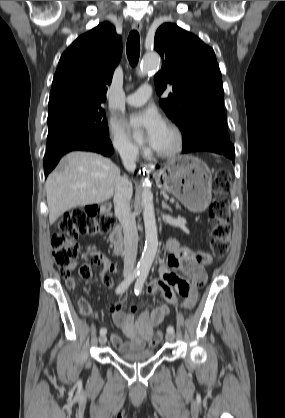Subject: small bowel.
<instances>
[{"instance_id": "small-bowel-1", "label": "small bowel", "mask_w": 285, "mask_h": 418, "mask_svg": "<svg viewBox=\"0 0 285 418\" xmlns=\"http://www.w3.org/2000/svg\"><path fill=\"white\" fill-rule=\"evenodd\" d=\"M166 247L170 252L169 256L160 262L158 276L154 278L148 285L147 293L153 299L165 298L169 304L177 306V296L183 297V302L188 304L195 301L197 293L207 281V274L202 264V256L204 253L194 252L188 248L180 247L174 239L166 242ZM104 267L96 273V277L105 284H114L112 280L105 278L107 272L112 275L118 274L117 266L109 261L108 258L103 259ZM181 262L187 265L181 272ZM210 262V259H207ZM66 286L69 289L75 287V281L71 277L68 270L65 278ZM125 292H121L119 299L111 306L113 318L117 326L129 338L130 342L125 343L116 333L111 335L113 346L121 352L142 349L146 340L151 336L153 328L160 324L169 312V305L162 304L152 311L144 310L138 317H135L136 308L131 307L129 311L123 309L125 301ZM79 307L82 315L89 316L92 308L86 299L79 301Z\"/></svg>"}]
</instances>
